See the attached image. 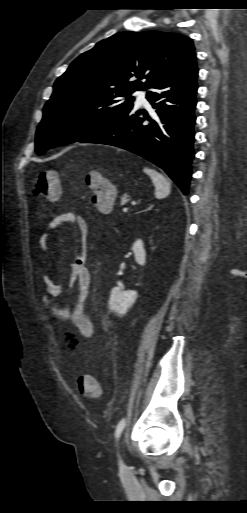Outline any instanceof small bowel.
<instances>
[{"mask_svg": "<svg viewBox=\"0 0 247 513\" xmlns=\"http://www.w3.org/2000/svg\"><path fill=\"white\" fill-rule=\"evenodd\" d=\"M66 223L74 225L80 234L81 248L70 263V277L73 278L72 285L76 286V298L71 305H55L50 298L60 297L65 291V286L49 276L43 275L44 294L42 295V305L54 319L58 321L70 320L73 323L77 332H67L66 335L79 351H83L84 342L94 335L93 322L85 309V299L91 282V275L86 266L87 222L82 216L72 212L56 216L49 223L48 230L42 234L40 246L42 249L48 250L51 235Z\"/></svg>", "mask_w": 247, "mask_h": 513, "instance_id": "c3829d8e", "label": "small bowel"}]
</instances>
